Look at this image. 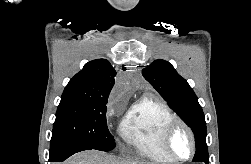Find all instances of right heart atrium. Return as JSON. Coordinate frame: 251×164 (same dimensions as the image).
<instances>
[{
	"instance_id": "right-heart-atrium-1",
	"label": "right heart atrium",
	"mask_w": 251,
	"mask_h": 164,
	"mask_svg": "<svg viewBox=\"0 0 251 164\" xmlns=\"http://www.w3.org/2000/svg\"><path fill=\"white\" fill-rule=\"evenodd\" d=\"M114 112H115V109H114V108L108 109V111H107V116H108V117H111V116L114 114Z\"/></svg>"
}]
</instances>
